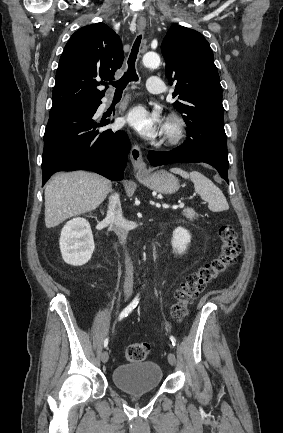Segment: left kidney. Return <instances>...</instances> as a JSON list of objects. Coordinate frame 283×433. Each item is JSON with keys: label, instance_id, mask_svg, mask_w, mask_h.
I'll use <instances>...</instances> for the list:
<instances>
[{"label": "left kidney", "instance_id": "1", "mask_svg": "<svg viewBox=\"0 0 283 433\" xmlns=\"http://www.w3.org/2000/svg\"><path fill=\"white\" fill-rule=\"evenodd\" d=\"M190 241L191 235L185 228L177 227L173 231L171 244L176 253L182 254L185 252Z\"/></svg>", "mask_w": 283, "mask_h": 433}]
</instances>
